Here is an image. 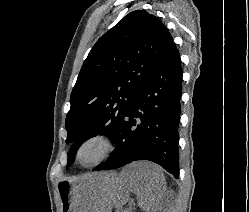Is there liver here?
<instances>
[{"mask_svg":"<svg viewBox=\"0 0 249 212\" xmlns=\"http://www.w3.org/2000/svg\"><path fill=\"white\" fill-rule=\"evenodd\" d=\"M100 190L105 202V212L122 208L130 200V192L136 194L138 206L155 210L165 192V178L160 166L150 162H132L122 168L120 174H101Z\"/></svg>","mask_w":249,"mask_h":212,"instance_id":"obj_1","label":"liver"}]
</instances>
